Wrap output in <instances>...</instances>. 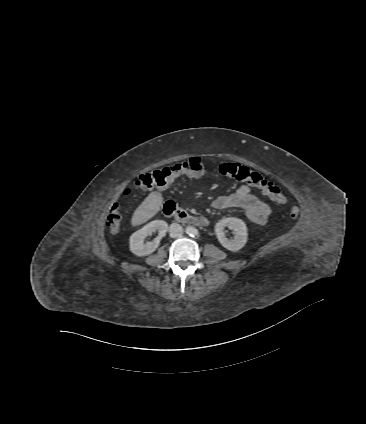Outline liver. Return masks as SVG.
<instances>
[{"label": "liver", "mask_w": 366, "mask_h": 424, "mask_svg": "<svg viewBox=\"0 0 366 424\" xmlns=\"http://www.w3.org/2000/svg\"><path fill=\"white\" fill-rule=\"evenodd\" d=\"M162 203L163 197L160 192L150 193L134 211L131 219L132 226L143 224L155 216L159 212Z\"/></svg>", "instance_id": "1"}]
</instances>
